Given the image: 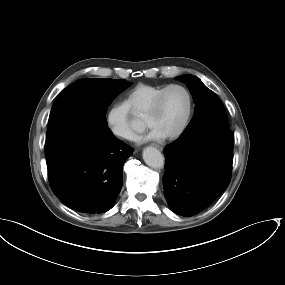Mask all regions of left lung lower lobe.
Returning <instances> with one entry per match:
<instances>
[{"mask_svg":"<svg viewBox=\"0 0 285 285\" xmlns=\"http://www.w3.org/2000/svg\"><path fill=\"white\" fill-rule=\"evenodd\" d=\"M233 145L230 130L202 128L166 146L164 195L174 213L191 217L227 188Z\"/></svg>","mask_w":285,"mask_h":285,"instance_id":"1","label":"left lung lower lobe"}]
</instances>
